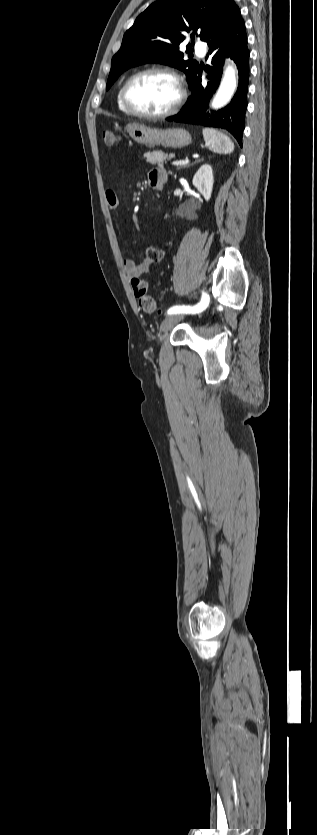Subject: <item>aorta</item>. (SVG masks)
<instances>
[{
    "mask_svg": "<svg viewBox=\"0 0 317 835\" xmlns=\"http://www.w3.org/2000/svg\"><path fill=\"white\" fill-rule=\"evenodd\" d=\"M237 88L236 71L232 65H228L220 86L213 98L211 107L215 110L226 106L232 99Z\"/></svg>",
    "mask_w": 317,
    "mask_h": 835,
    "instance_id": "762f6f07",
    "label": "aorta"
}]
</instances>
